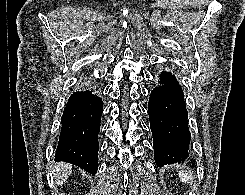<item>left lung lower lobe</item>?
<instances>
[{"label": "left lung lower lobe", "mask_w": 245, "mask_h": 195, "mask_svg": "<svg viewBox=\"0 0 245 195\" xmlns=\"http://www.w3.org/2000/svg\"><path fill=\"white\" fill-rule=\"evenodd\" d=\"M148 114L157 166L184 162L189 156L190 132L181 86L175 75L163 71L149 98Z\"/></svg>", "instance_id": "left-lung-lower-lobe-1"}]
</instances>
